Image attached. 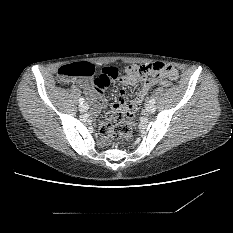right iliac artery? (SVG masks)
I'll list each match as a JSON object with an SVG mask.
<instances>
[{
	"instance_id": "obj_1",
	"label": "right iliac artery",
	"mask_w": 233,
	"mask_h": 233,
	"mask_svg": "<svg viewBox=\"0 0 233 233\" xmlns=\"http://www.w3.org/2000/svg\"><path fill=\"white\" fill-rule=\"evenodd\" d=\"M79 103H80V104H83V103H84V99H83V98H80V99H79Z\"/></svg>"
}]
</instances>
